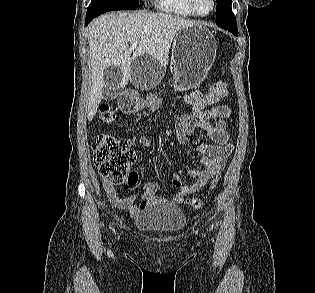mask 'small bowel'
<instances>
[{"instance_id": "c3829d8e", "label": "small bowel", "mask_w": 315, "mask_h": 293, "mask_svg": "<svg viewBox=\"0 0 315 293\" xmlns=\"http://www.w3.org/2000/svg\"><path fill=\"white\" fill-rule=\"evenodd\" d=\"M227 94L224 91L203 94L200 90H193L184 96L185 102L192 106V114H181L176 118L175 129L178 142L186 144L191 141L197 128L203 130L212 141V143L194 145L196 151L201 155L200 162L203 166L202 169L189 170L190 176L195 179L194 183L185 184L179 175H174L172 184L177 188V192L172 198L157 195L160 185L156 180L148 181L138 196H119L114 185L104 183V190L110 203L114 207L127 209L133 216L155 203L178 205L188 195L199 191L210 178L220 174L233 149L227 129L231 109L226 105L218 104ZM127 142L129 146H134L138 142L145 148H149L152 143L146 136L131 137ZM138 198L139 203L136 202Z\"/></svg>"}]
</instances>
